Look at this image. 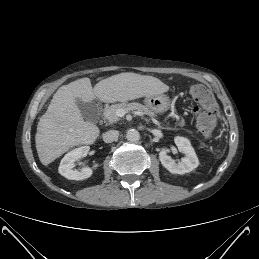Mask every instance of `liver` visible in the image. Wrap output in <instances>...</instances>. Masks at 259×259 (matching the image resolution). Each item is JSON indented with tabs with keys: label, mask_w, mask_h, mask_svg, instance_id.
Returning <instances> with one entry per match:
<instances>
[{
	"label": "liver",
	"mask_w": 259,
	"mask_h": 259,
	"mask_svg": "<svg viewBox=\"0 0 259 259\" xmlns=\"http://www.w3.org/2000/svg\"><path fill=\"white\" fill-rule=\"evenodd\" d=\"M168 89L158 78L132 72L103 79L94 88L87 77L61 86L37 125L35 143L40 162L46 166L74 146L93 144L99 136V128L84 121L77 98L84 102H125L162 94Z\"/></svg>",
	"instance_id": "6515ba94"
}]
</instances>
